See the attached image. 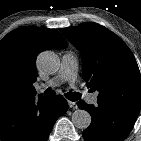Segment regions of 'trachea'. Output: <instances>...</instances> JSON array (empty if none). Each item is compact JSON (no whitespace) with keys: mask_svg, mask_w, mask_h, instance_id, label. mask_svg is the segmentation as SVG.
Wrapping results in <instances>:
<instances>
[{"mask_svg":"<svg viewBox=\"0 0 141 141\" xmlns=\"http://www.w3.org/2000/svg\"><path fill=\"white\" fill-rule=\"evenodd\" d=\"M55 91L52 90L51 88H48L45 92L44 95L47 97H51V96H55ZM80 94L78 92H68L65 93V97L70 100V101H77L78 99H80Z\"/></svg>","mask_w":141,"mask_h":141,"instance_id":"1","label":"trachea"}]
</instances>
